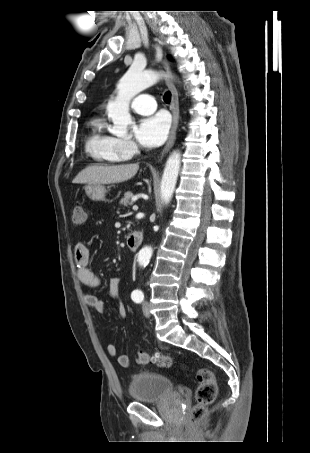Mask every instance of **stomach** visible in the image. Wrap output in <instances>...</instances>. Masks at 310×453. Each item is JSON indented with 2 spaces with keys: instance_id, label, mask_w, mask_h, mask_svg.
Segmentation results:
<instances>
[{
  "instance_id": "stomach-1",
  "label": "stomach",
  "mask_w": 310,
  "mask_h": 453,
  "mask_svg": "<svg viewBox=\"0 0 310 453\" xmlns=\"http://www.w3.org/2000/svg\"><path fill=\"white\" fill-rule=\"evenodd\" d=\"M87 196L94 201L102 200L105 196V187L101 184L88 185L85 188Z\"/></svg>"
}]
</instances>
